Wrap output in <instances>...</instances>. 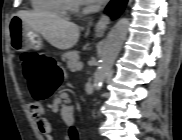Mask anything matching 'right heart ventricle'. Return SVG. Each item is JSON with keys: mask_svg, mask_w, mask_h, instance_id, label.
Masks as SVG:
<instances>
[{"mask_svg": "<svg viewBox=\"0 0 182 140\" xmlns=\"http://www.w3.org/2000/svg\"><path fill=\"white\" fill-rule=\"evenodd\" d=\"M67 0H32V8L39 12L65 15Z\"/></svg>", "mask_w": 182, "mask_h": 140, "instance_id": "1", "label": "right heart ventricle"}]
</instances>
